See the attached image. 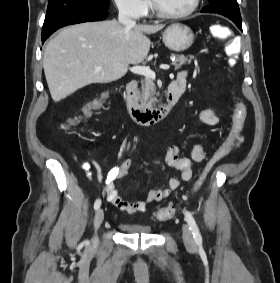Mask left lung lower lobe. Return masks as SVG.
I'll return each instance as SVG.
<instances>
[{
    "mask_svg": "<svg viewBox=\"0 0 280 283\" xmlns=\"http://www.w3.org/2000/svg\"><path fill=\"white\" fill-rule=\"evenodd\" d=\"M230 20H232L236 24V26L242 31V22H241V20H238V19H230Z\"/></svg>",
    "mask_w": 280,
    "mask_h": 283,
    "instance_id": "0a47b994",
    "label": "left lung lower lobe"
}]
</instances>
